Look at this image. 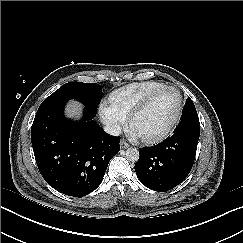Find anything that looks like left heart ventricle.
Here are the masks:
<instances>
[{
    "label": "left heart ventricle",
    "mask_w": 243,
    "mask_h": 243,
    "mask_svg": "<svg viewBox=\"0 0 243 243\" xmlns=\"http://www.w3.org/2000/svg\"><path fill=\"white\" fill-rule=\"evenodd\" d=\"M178 106V94L167 91L151 101L135 120L137 131L146 136L162 133L173 120Z\"/></svg>",
    "instance_id": "left-heart-ventricle-1"
}]
</instances>
